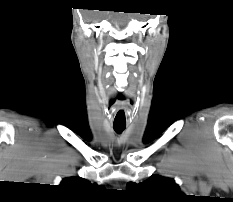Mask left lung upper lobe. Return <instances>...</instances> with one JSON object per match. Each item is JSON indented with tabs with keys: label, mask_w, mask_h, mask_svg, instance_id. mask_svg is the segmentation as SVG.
Instances as JSON below:
<instances>
[{
	"label": "left lung upper lobe",
	"mask_w": 233,
	"mask_h": 202,
	"mask_svg": "<svg viewBox=\"0 0 233 202\" xmlns=\"http://www.w3.org/2000/svg\"><path fill=\"white\" fill-rule=\"evenodd\" d=\"M126 189L151 202H176L183 197L173 179L159 175L151 176L140 184L129 182Z\"/></svg>",
	"instance_id": "1"
}]
</instances>
